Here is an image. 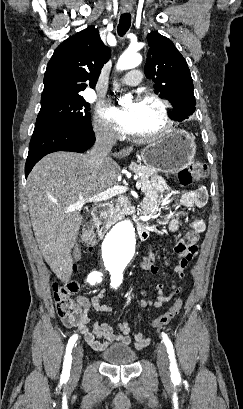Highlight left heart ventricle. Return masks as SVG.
Returning a JSON list of instances; mask_svg holds the SVG:
<instances>
[{"mask_svg":"<svg viewBox=\"0 0 243 409\" xmlns=\"http://www.w3.org/2000/svg\"><path fill=\"white\" fill-rule=\"evenodd\" d=\"M134 111L132 134L153 132L162 126L160 107L153 101H136L129 105Z\"/></svg>","mask_w":243,"mask_h":409,"instance_id":"b2bd125f","label":"left heart ventricle"}]
</instances>
